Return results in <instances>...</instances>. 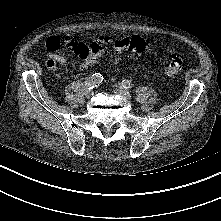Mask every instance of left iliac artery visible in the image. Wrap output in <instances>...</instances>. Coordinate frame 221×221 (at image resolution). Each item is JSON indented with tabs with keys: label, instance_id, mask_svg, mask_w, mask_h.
Returning <instances> with one entry per match:
<instances>
[{
	"label": "left iliac artery",
	"instance_id": "44dca946",
	"mask_svg": "<svg viewBox=\"0 0 221 221\" xmlns=\"http://www.w3.org/2000/svg\"><path fill=\"white\" fill-rule=\"evenodd\" d=\"M122 86L126 89L130 88L131 87V83L129 80H123L122 81Z\"/></svg>",
	"mask_w": 221,
	"mask_h": 221
}]
</instances>
